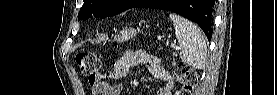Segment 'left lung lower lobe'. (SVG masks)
I'll return each mask as SVG.
<instances>
[{
    "label": "left lung lower lobe",
    "instance_id": "left-lung-lower-lobe-1",
    "mask_svg": "<svg viewBox=\"0 0 277 95\" xmlns=\"http://www.w3.org/2000/svg\"><path fill=\"white\" fill-rule=\"evenodd\" d=\"M159 1L160 0H141L135 7L173 11L196 22L204 31L208 40L211 39L214 0H175L171 6L165 8L159 5Z\"/></svg>",
    "mask_w": 277,
    "mask_h": 95
}]
</instances>
